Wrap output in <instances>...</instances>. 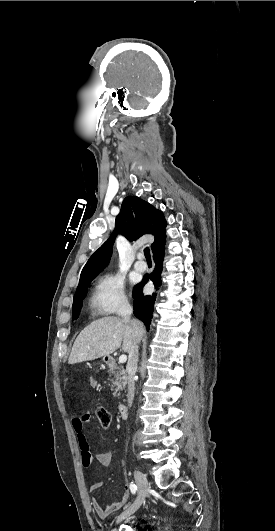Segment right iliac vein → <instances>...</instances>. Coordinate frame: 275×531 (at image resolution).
I'll return each mask as SVG.
<instances>
[{"label": "right iliac vein", "mask_w": 275, "mask_h": 531, "mask_svg": "<svg viewBox=\"0 0 275 531\" xmlns=\"http://www.w3.org/2000/svg\"><path fill=\"white\" fill-rule=\"evenodd\" d=\"M134 478L138 487V496L134 503L120 514V516L118 517V522L133 515L142 505L147 496V487L149 483L146 476L141 471L136 470L134 472Z\"/></svg>", "instance_id": "63e3f726"}]
</instances>
